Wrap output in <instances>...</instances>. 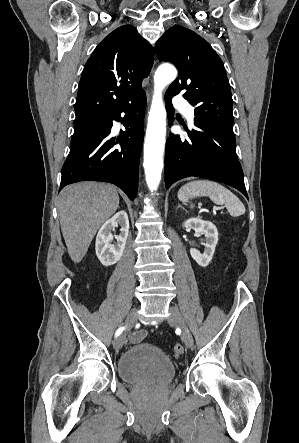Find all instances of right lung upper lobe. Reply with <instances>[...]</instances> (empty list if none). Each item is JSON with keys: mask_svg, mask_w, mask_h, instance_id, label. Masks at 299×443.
Returning a JSON list of instances; mask_svg holds the SVG:
<instances>
[{"mask_svg": "<svg viewBox=\"0 0 299 443\" xmlns=\"http://www.w3.org/2000/svg\"><path fill=\"white\" fill-rule=\"evenodd\" d=\"M154 60L153 47L131 25L118 27L88 59L80 79L75 123L99 118L129 103L144 90Z\"/></svg>", "mask_w": 299, "mask_h": 443, "instance_id": "cb5924a9", "label": "right lung upper lobe"}]
</instances>
